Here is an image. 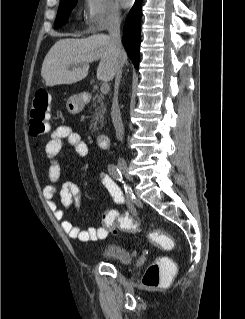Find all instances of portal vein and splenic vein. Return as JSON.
I'll list each match as a JSON object with an SVG mask.
<instances>
[{"mask_svg":"<svg viewBox=\"0 0 245 319\" xmlns=\"http://www.w3.org/2000/svg\"><path fill=\"white\" fill-rule=\"evenodd\" d=\"M109 90H110L109 85L106 82H103L101 85V92L103 94H107L109 92Z\"/></svg>","mask_w":245,"mask_h":319,"instance_id":"18ae733b","label":"portal vein and splenic vein"}]
</instances>
